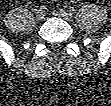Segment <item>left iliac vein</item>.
Here are the masks:
<instances>
[{"mask_svg": "<svg viewBox=\"0 0 111 106\" xmlns=\"http://www.w3.org/2000/svg\"><path fill=\"white\" fill-rule=\"evenodd\" d=\"M53 14H54L55 16H59V17L65 18V19H67V20H69V21H72L73 18H74V16H73L72 13L67 12V11H64V10H61V11H59V12H55V13H53Z\"/></svg>", "mask_w": 111, "mask_h": 106, "instance_id": "obj_1", "label": "left iliac vein"}]
</instances>
